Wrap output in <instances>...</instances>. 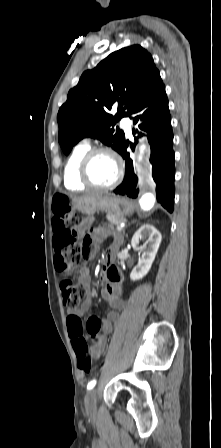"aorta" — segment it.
I'll list each match as a JSON object with an SVG mask.
<instances>
[{"label": "aorta", "instance_id": "obj_1", "mask_svg": "<svg viewBox=\"0 0 221 448\" xmlns=\"http://www.w3.org/2000/svg\"><path fill=\"white\" fill-rule=\"evenodd\" d=\"M145 150V145H141L140 147V157L139 159H141V155L143 154ZM156 198L152 193H144L140 199V206L143 210H149L151 209L154 204H155Z\"/></svg>", "mask_w": 221, "mask_h": 448}]
</instances>
